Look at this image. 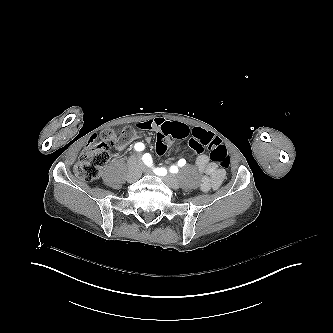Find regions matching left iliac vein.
I'll list each match as a JSON object with an SVG mask.
<instances>
[{
  "label": "left iliac vein",
  "instance_id": "1",
  "mask_svg": "<svg viewBox=\"0 0 333 333\" xmlns=\"http://www.w3.org/2000/svg\"><path fill=\"white\" fill-rule=\"evenodd\" d=\"M140 168L144 173L150 174V175L152 174L151 170L149 168L145 167L142 163H140ZM161 178L168 187H170L174 190H177L179 188V182H178L177 178L174 175L167 174V175H165L164 177H161Z\"/></svg>",
  "mask_w": 333,
  "mask_h": 333
}]
</instances>
